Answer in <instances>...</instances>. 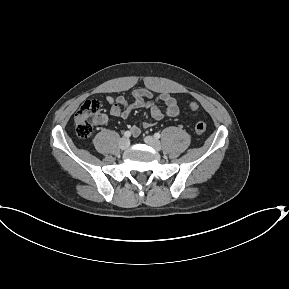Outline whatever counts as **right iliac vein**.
<instances>
[{"instance_id":"right-iliac-vein-1","label":"right iliac vein","mask_w":289,"mask_h":289,"mask_svg":"<svg viewBox=\"0 0 289 289\" xmlns=\"http://www.w3.org/2000/svg\"><path fill=\"white\" fill-rule=\"evenodd\" d=\"M130 145V142H129V139L127 138H122L120 141H119V148L122 149V150H126Z\"/></svg>"}]
</instances>
